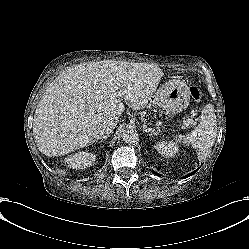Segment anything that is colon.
Masks as SVG:
<instances>
[{"instance_id":"5ec220e1","label":"colon","mask_w":249,"mask_h":249,"mask_svg":"<svg viewBox=\"0 0 249 249\" xmlns=\"http://www.w3.org/2000/svg\"><path fill=\"white\" fill-rule=\"evenodd\" d=\"M190 94L194 100H200L201 99V92L198 87L192 86L190 88Z\"/></svg>"}]
</instances>
